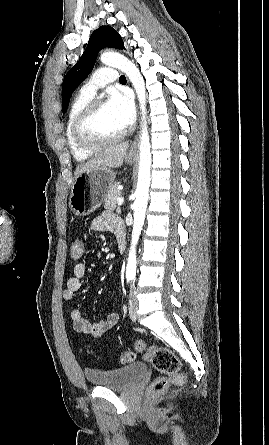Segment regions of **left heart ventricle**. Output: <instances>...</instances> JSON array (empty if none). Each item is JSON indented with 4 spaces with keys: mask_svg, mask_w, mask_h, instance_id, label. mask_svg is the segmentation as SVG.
Segmentation results:
<instances>
[{
    "mask_svg": "<svg viewBox=\"0 0 269 445\" xmlns=\"http://www.w3.org/2000/svg\"><path fill=\"white\" fill-rule=\"evenodd\" d=\"M125 129L107 103L103 104L94 117L90 130L97 136H112Z\"/></svg>",
    "mask_w": 269,
    "mask_h": 445,
    "instance_id": "b2bd125f",
    "label": "left heart ventricle"
}]
</instances>
